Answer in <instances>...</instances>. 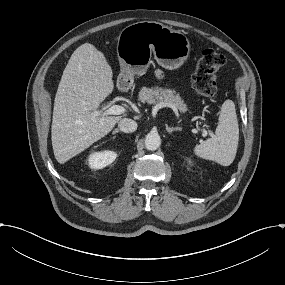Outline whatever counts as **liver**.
Here are the masks:
<instances>
[{
    "label": "liver",
    "mask_w": 285,
    "mask_h": 285,
    "mask_svg": "<svg viewBox=\"0 0 285 285\" xmlns=\"http://www.w3.org/2000/svg\"><path fill=\"white\" fill-rule=\"evenodd\" d=\"M113 73L103 53L85 43L71 55L55 96L51 140L63 164L107 135L121 116L94 115L114 89Z\"/></svg>",
    "instance_id": "1"
}]
</instances>
